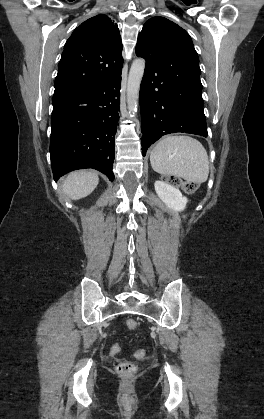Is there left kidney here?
Segmentation results:
<instances>
[{"instance_id": "obj_1", "label": "left kidney", "mask_w": 264, "mask_h": 419, "mask_svg": "<svg viewBox=\"0 0 264 419\" xmlns=\"http://www.w3.org/2000/svg\"><path fill=\"white\" fill-rule=\"evenodd\" d=\"M154 187L158 197L170 209L179 212L186 208L188 200L177 188L159 180L155 182Z\"/></svg>"}]
</instances>
